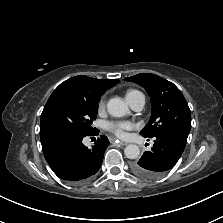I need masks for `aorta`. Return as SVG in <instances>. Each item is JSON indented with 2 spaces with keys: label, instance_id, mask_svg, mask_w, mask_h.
Listing matches in <instances>:
<instances>
[{
  "label": "aorta",
  "instance_id": "762f6f07",
  "mask_svg": "<svg viewBox=\"0 0 223 223\" xmlns=\"http://www.w3.org/2000/svg\"><path fill=\"white\" fill-rule=\"evenodd\" d=\"M107 110L114 117H123L129 113L127 104L120 98H111L107 103ZM124 154L129 159H136L140 155V149L135 144H129L124 149Z\"/></svg>",
  "mask_w": 223,
  "mask_h": 223
}]
</instances>
